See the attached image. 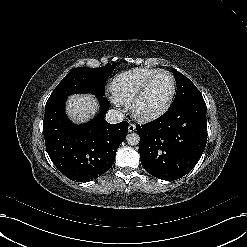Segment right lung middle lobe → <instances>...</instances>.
<instances>
[{"label": "right lung middle lobe", "instance_id": "obj_1", "mask_svg": "<svg viewBox=\"0 0 247 247\" xmlns=\"http://www.w3.org/2000/svg\"><path fill=\"white\" fill-rule=\"evenodd\" d=\"M116 64L99 68L78 67L71 70L57 85L48 101L65 98L74 93H91L96 96L105 94V84Z\"/></svg>", "mask_w": 247, "mask_h": 247}]
</instances>
